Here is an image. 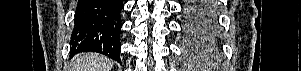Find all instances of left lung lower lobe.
I'll use <instances>...</instances> for the list:
<instances>
[{
	"label": "left lung lower lobe",
	"instance_id": "0a47b994",
	"mask_svg": "<svg viewBox=\"0 0 301 71\" xmlns=\"http://www.w3.org/2000/svg\"><path fill=\"white\" fill-rule=\"evenodd\" d=\"M214 3L210 0L190 3L188 13L187 34L190 39L202 46L215 44Z\"/></svg>",
	"mask_w": 301,
	"mask_h": 71
}]
</instances>
